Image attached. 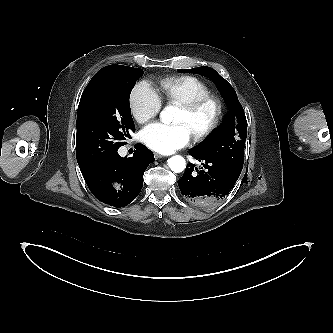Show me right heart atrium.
<instances>
[{
    "label": "right heart atrium",
    "instance_id": "obj_1",
    "mask_svg": "<svg viewBox=\"0 0 333 333\" xmlns=\"http://www.w3.org/2000/svg\"><path fill=\"white\" fill-rule=\"evenodd\" d=\"M162 101L149 83H138L130 96V109L134 119L145 123L154 118L161 110Z\"/></svg>",
    "mask_w": 333,
    "mask_h": 333
}]
</instances>
